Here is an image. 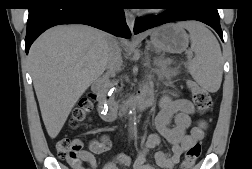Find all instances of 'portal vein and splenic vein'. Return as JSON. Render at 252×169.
<instances>
[{"mask_svg": "<svg viewBox=\"0 0 252 169\" xmlns=\"http://www.w3.org/2000/svg\"><path fill=\"white\" fill-rule=\"evenodd\" d=\"M191 57H192L191 54H189V55H188V59H191Z\"/></svg>", "mask_w": 252, "mask_h": 169, "instance_id": "portal-vein-and-splenic-vein-1", "label": "portal vein and splenic vein"}]
</instances>
